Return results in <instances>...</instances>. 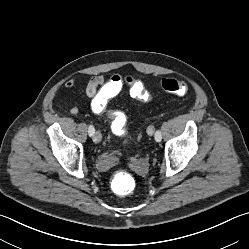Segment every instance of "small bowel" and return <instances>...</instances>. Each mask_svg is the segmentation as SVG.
Here are the masks:
<instances>
[{
  "instance_id": "c3829d8e",
  "label": "small bowel",
  "mask_w": 249,
  "mask_h": 249,
  "mask_svg": "<svg viewBox=\"0 0 249 249\" xmlns=\"http://www.w3.org/2000/svg\"><path fill=\"white\" fill-rule=\"evenodd\" d=\"M78 77L69 78L65 82V88L67 90H72L75 86V82ZM112 84L110 80L106 81L103 74H96L92 76L86 84L85 94L86 97L90 100V107L94 114L102 115L106 113L107 101L115 97L116 95H110ZM81 112V109L78 106L69 107V113L72 115H78ZM110 118L112 119L113 124L120 119H124V115L120 112H111L109 113ZM101 162L104 164H109L111 158L108 155H105L101 158ZM138 171L140 173L145 172V163L141 162L138 166Z\"/></svg>"
}]
</instances>
